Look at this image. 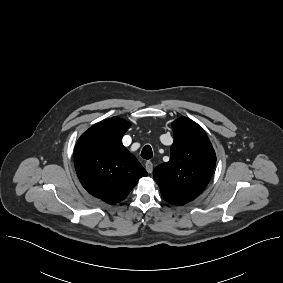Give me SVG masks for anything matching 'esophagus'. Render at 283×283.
<instances>
[{"label": "esophagus", "mask_w": 283, "mask_h": 283, "mask_svg": "<svg viewBox=\"0 0 283 283\" xmlns=\"http://www.w3.org/2000/svg\"><path fill=\"white\" fill-rule=\"evenodd\" d=\"M145 168L148 173H152L153 171V163L151 161H146Z\"/></svg>", "instance_id": "obj_1"}]
</instances>
